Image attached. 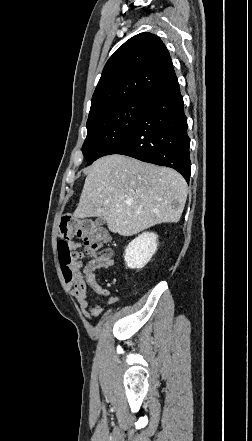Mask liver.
<instances>
[{
  "mask_svg": "<svg viewBox=\"0 0 252 441\" xmlns=\"http://www.w3.org/2000/svg\"><path fill=\"white\" fill-rule=\"evenodd\" d=\"M188 194L175 170L114 154L88 169L77 218L104 217L108 229L132 236L160 223L180 220Z\"/></svg>",
  "mask_w": 252,
  "mask_h": 441,
  "instance_id": "6515ba94",
  "label": "liver"
}]
</instances>
